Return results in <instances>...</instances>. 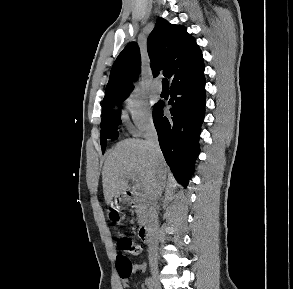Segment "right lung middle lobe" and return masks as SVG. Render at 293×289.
I'll return each instance as SVG.
<instances>
[{
	"instance_id": "dd1d6c3e",
	"label": "right lung middle lobe",
	"mask_w": 293,
	"mask_h": 289,
	"mask_svg": "<svg viewBox=\"0 0 293 289\" xmlns=\"http://www.w3.org/2000/svg\"><path fill=\"white\" fill-rule=\"evenodd\" d=\"M127 98L126 96L114 97L103 103L102 121H101V136L100 143L102 152L106 147V140H115L118 137L117 127L121 123V115L119 113L110 112L112 107Z\"/></svg>"
}]
</instances>
